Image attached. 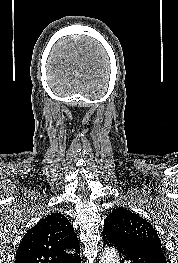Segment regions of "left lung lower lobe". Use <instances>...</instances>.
<instances>
[{
	"mask_svg": "<svg viewBox=\"0 0 178 263\" xmlns=\"http://www.w3.org/2000/svg\"><path fill=\"white\" fill-rule=\"evenodd\" d=\"M103 241L118 250L121 263H167L162 249L127 237L110 226H104Z\"/></svg>",
	"mask_w": 178,
	"mask_h": 263,
	"instance_id": "obj_1",
	"label": "left lung lower lobe"
}]
</instances>
